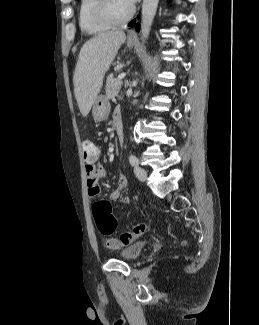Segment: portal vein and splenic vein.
<instances>
[{
    "label": "portal vein and splenic vein",
    "mask_w": 259,
    "mask_h": 325,
    "mask_svg": "<svg viewBox=\"0 0 259 325\" xmlns=\"http://www.w3.org/2000/svg\"><path fill=\"white\" fill-rule=\"evenodd\" d=\"M125 76H126V73H121V74L118 75L117 80L120 81V80L124 79Z\"/></svg>",
    "instance_id": "obj_1"
}]
</instances>
